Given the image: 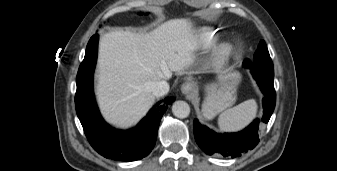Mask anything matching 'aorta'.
I'll return each mask as SVG.
<instances>
[{
    "instance_id": "1",
    "label": "aorta",
    "mask_w": 337,
    "mask_h": 171,
    "mask_svg": "<svg viewBox=\"0 0 337 171\" xmlns=\"http://www.w3.org/2000/svg\"><path fill=\"white\" fill-rule=\"evenodd\" d=\"M172 113L177 118L183 119L189 116L190 107L187 102L179 100L173 103Z\"/></svg>"
}]
</instances>
